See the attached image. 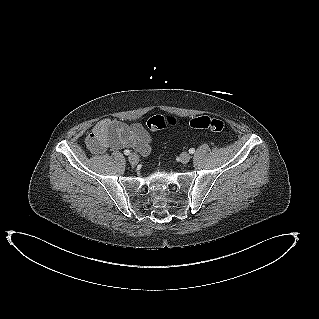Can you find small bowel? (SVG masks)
Here are the masks:
<instances>
[{
    "label": "small bowel",
    "mask_w": 319,
    "mask_h": 319,
    "mask_svg": "<svg viewBox=\"0 0 319 319\" xmlns=\"http://www.w3.org/2000/svg\"><path fill=\"white\" fill-rule=\"evenodd\" d=\"M86 143L89 151L97 155L123 148H132L144 156L152 151V137L142 124H126L112 118L100 120L89 132Z\"/></svg>",
    "instance_id": "1"
}]
</instances>
